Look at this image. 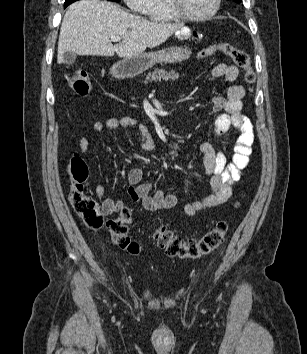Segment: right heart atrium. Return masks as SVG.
Here are the masks:
<instances>
[{
  "instance_id": "1",
  "label": "right heart atrium",
  "mask_w": 307,
  "mask_h": 354,
  "mask_svg": "<svg viewBox=\"0 0 307 354\" xmlns=\"http://www.w3.org/2000/svg\"><path fill=\"white\" fill-rule=\"evenodd\" d=\"M133 11L146 14L152 0H123Z\"/></svg>"
}]
</instances>
